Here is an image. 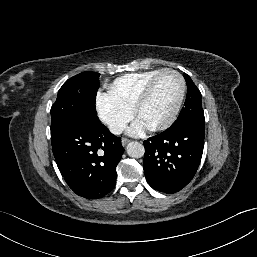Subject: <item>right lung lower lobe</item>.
<instances>
[{
	"mask_svg": "<svg viewBox=\"0 0 257 257\" xmlns=\"http://www.w3.org/2000/svg\"><path fill=\"white\" fill-rule=\"evenodd\" d=\"M57 166L79 196L98 199L116 184V166L124 148L106 126L68 124L51 134Z\"/></svg>",
	"mask_w": 257,
	"mask_h": 257,
	"instance_id": "right-lung-lower-lobe-1",
	"label": "right lung lower lobe"
}]
</instances>
